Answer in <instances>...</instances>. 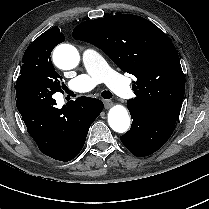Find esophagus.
Wrapping results in <instances>:
<instances>
[{
    "label": "esophagus",
    "instance_id": "1",
    "mask_svg": "<svg viewBox=\"0 0 209 209\" xmlns=\"http://www.w3.org/2000/svg\"><path fill=\"white\" fill-rule=\"evenodd\" d=\"M113 105L111 100H104V106L106 109L110 108Z\"/></svg>",
    "mask_w": 209,
    "mask_h": 209
}]
</instances>
